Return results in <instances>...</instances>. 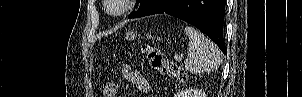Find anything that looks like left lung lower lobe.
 Returning a JSON list of instances; mask_svg holds the SVG:
<instances>
[{
    "label": "left lung lower lobe",
    "mask_w": 302,
    "mask_h": 97,
    "mask_svg": "<svg viewBox=\"0 0 302 97\" xmlns=\"http://www.w3.org/2000/svg\"><path fill=\"white\" fill-rule=\"evenodd\" d=\"M225 3L226 0H151L145 8L130 14L129 18L167 13L200 29L226 54L223 40Z\"/></svg>",
    "instance_id": "0a47b994"
}]
</instances>
